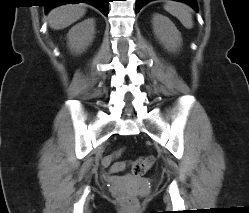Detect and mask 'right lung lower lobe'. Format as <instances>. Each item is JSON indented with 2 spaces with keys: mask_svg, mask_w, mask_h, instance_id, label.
<instances>
[{
  "mask_svg": "<svg viewBox=\"0 0 249 213\" xmlns=\"http://www.w3.org/2000/svg\"><path fill=\"white\" fill-rule=\"evenodd\" d=\"M108 2L109 0H50L46 7L48 12L51 8L64 5V4H79V3H88L97 7L105 16L108 15Z\"/></svg>",
  "mask_w": 249,
  "mask_h": 213,
  "instance_id": "obj_1",
  "label": "right lung lower lobe"
}]
</instances>
